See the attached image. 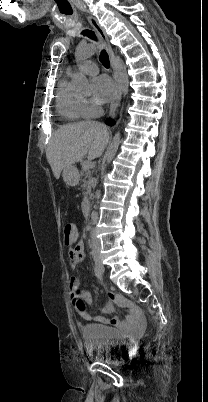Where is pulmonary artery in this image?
<instances>
[{
	"label": "pulmonary artery",
	"instance_id": "1",
	"mask_svg": "<svg viewBox=\"0 0 208 402\" xmlns=\"http://www.w3.org/2000/svg\"><path fill=\"white\" fill-rule=\"evenodd\" d=\"M81 51H86V49L84 48V46L80 47ZM86 54L91 55L92 53L87 52ZM97 65L95 63H93L92 61H76V64L73 66H69L67 68V71L69 73H73L77 70H80L86 74H95L97 72Z\"/></svg>",
	"mask_w": 208,
	"mask_h": 402
}]
</instances>
